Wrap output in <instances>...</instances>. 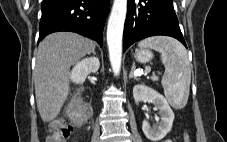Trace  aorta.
Returning a JSON list of instances; mask_svg holds the SVG:
<instances>
[{"label":"aorta","mask_w":227,"mask_h":142,"mask_svg":"<svg viewBox=\"0 0 227 142\" xmlns=\"http://www.w3.org/2000/svg\"><path fill=\"white\" fill-rule=\"evenodd\" d=\"M127 12V0H114L107 26V44L113 73L118 75L122 60V36Z\"/></svg>","instance_id":"obj_1"}]
</instances>
